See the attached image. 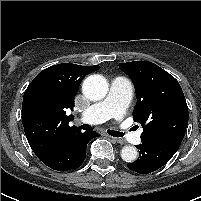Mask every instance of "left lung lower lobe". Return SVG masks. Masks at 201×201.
<instances>
[{"mask_svg":"<svg viewBox=\"0 0 201 201\" xmlns=\"http://www.w3.org/2000/svg\"><path fill=\"white\" fill-rule=\"evenodd\" d=\"M183 139L174 137L142 141L136 145L139 158L127 167L140 174L151 173L165 165L178 150Z\"/></svg>","mask_w":201,"mask_h":201,"instance_id":"left-lung-lower-lobe-1","label":"left lung lower lobe"}]
</instances>
